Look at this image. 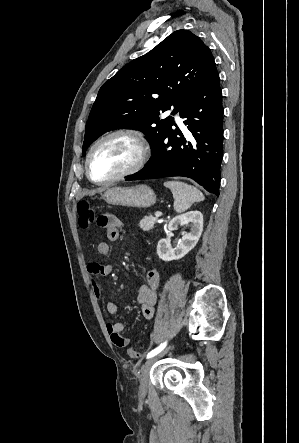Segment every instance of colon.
<instances>
[{"label":"colon","mask_w":299,"mask_h":443,"mask_svg":"<svg viewBox=\"0 0 299 443\" xmlns=\"http://www.w3.org/2000/svg\"><path fill=\"white\" fill-rule=\"evenodd\" d=\"M77 213L79 217V226L81 229H89L96 223L95 211L87 201L81 200L78 202ZM127 353L132 359L142 358V353L135 346H131Z\"/></svg>","instance_id":"5ec220e1"}]
</instances>
